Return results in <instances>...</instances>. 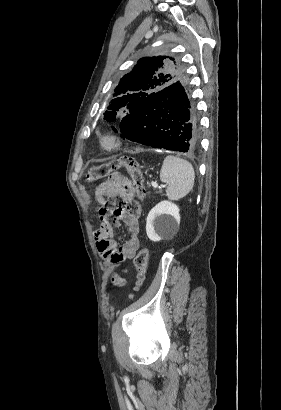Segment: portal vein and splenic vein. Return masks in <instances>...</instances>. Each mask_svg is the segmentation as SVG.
I'll use <instances>...</instances> for the list:
<instances>
[{
    "instance_id": "portal-vein-and-splenic-vein-1",
    "label": "portal vein and splenic vein",
    "mask_w": 281,
    "mask_h": 410,
    "mask_svg": "<svg viewBox=\"0 0 281 410\" xmlns=\"http://www.w3.org/2000/svg\"><path fill=\"white\" fill-rule=\"evenodd\" d=\"M151 185H152L154 188H157V187H158V184H157L156 182H151Z\"/></svg>"
}]
</instances>
